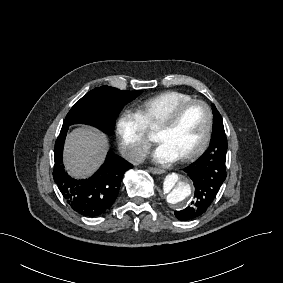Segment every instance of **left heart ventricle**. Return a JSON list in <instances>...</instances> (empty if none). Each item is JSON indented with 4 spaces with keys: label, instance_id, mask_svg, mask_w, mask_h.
<instances>
[{
    "label": "left heart ventricle",
    "instance_id": "left-heart-ventricle-1",
    "mask_svg": "<svg viewBox=\"0 0 283 283\" xmlns=\"http://www.w3.org/2000/svg\"><path fill=\"white\" fill-rule=\"evenodd\" d=\"M206 123L205 109L199 104H193L183 112L171 129H155L154 138L159 144H166L180 157L200 144Z\"/></svg>",
    "mask_w": 283,
    "mask_h": 283
}]
</instances>
